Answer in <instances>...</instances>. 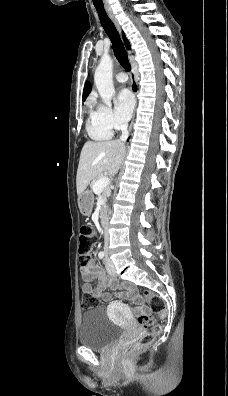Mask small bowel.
I'll return each mask as SVG.
<instances>
[{
    "label": "small bowel",
    "mask_w": 228,
    "mask_h": 396,
    "mask_svg": "<svg viewBox=\"0 0 228 396\" xmlns=\"http://www.w3.org/2000/svg\"><path fill=\"white\" fill-rule=\"evenodd\" d=\"M81 276L85 283L82 285V292L84 294H91L97 299L103 301H110L111 295L106 293L104 290L106 287L117 288L121 286L125 291L121 296L125 299H129L133 302V313L135 315H143L147 312V308L142 304L141 298L137 295L136 290L131 284L120 285L118 281L107 276L105 272L92 260L88 266L81 267ZM97 279L98 285L93 288L90 281ZM116 307L123 310H128V308L122 303H117Z\"/></svg>",
    "instance_id": "small-bowel-1"
}]
</instances>
